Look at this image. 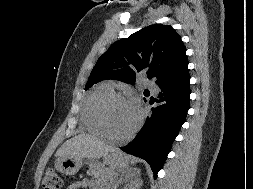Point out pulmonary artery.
<instances>
[{
	"instance_id": "1",
	"label": "pulmonary artery",
	"mask_w": 253,
	"mask_h": 189,
	"mask_svg": "<svg viewBox=\"0 0 253 189\" xmlns=\"http://www.w3.org/2000/svg\"><path fill=\"white\" fill-rule=\"evenodd\" d=\"M147 86L149 87V88H155V84H154V82H152V81H147Z\"/></svg>"
}]
</instances>
